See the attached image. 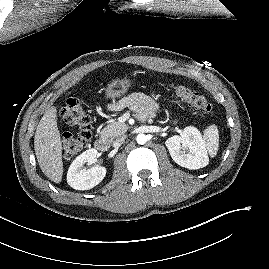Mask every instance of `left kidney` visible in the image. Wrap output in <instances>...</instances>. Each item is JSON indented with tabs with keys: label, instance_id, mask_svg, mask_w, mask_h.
<instances>
[{
	"label": "left kidney",
	"instance_id": "1",
	"mask_svg": "<svg viewBox=\"0 0 269 269\" xmlns=\"http://www.w3.org/2000/svg\"><path fill=\"white\" fill-rule=\"evenodd\" d=\"M165 144L174 162L181 167L195 170L208 165L204 140L195 127H186L180 136L168 138Z\"/></svg>",
	"mask_w": 269,
	"mask_h": 269
}]
</instances>
